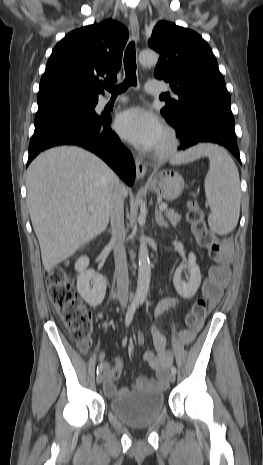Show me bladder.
I'll use <instances>...</instances> for the list:
<instances>
[{"instance_id":"bladder-1","label":"bladder","mask_w":263,"mask_h":465,"mask_svg":"<svg viewBox=\"0 0 263 465\" xmlns=\"http://www.w3.org/2000/svg\"><path fill=\"white\" fill-rule=\"evenodd\" d=\"M164 394L154 388L141 387L112 399L109 412L125 425L145 428L153 425L164 410Z\"/></svg>"}]
</instances>
